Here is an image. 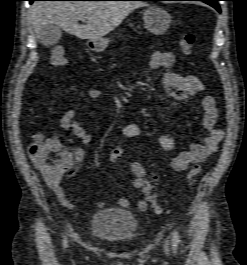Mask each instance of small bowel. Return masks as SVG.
<instances>
[{
	"label": "small bowel",
	"mask_w": 247,
	"mask_h": 265,
	"mask_svg": "<svg viewBox=\"0 0 247 265\" xmlns=\"http://www.w3.org/2000/svg\"><path fill=\"white\" fill-rule=\"evenodd\" d=\"M175 62L176 59L174 54L157 51L152 55L149 68L152 70L164 69L161 82L165 91L174 99L185 102L202 92L204 90V83L197 76L181 75L171 71ZM104 93L105 92L101 89L91 88L87 92H81L80 95L86 94L89 98L96 100L101 98ZM200 106L203 110L202 123L209 134L202 143H192L188 149L179 152L178 155L173 158L172 167L175 171H185L190 164L203 162L208 156L218 150L223 140L224 132L216 126L218 108L215 98L211 95L202 96ZM76 113L77 108L75 106L65 111L60 119V126L65 131L69 132L70 135L79 139L82 143L87 144L91 141L92 136L85 126L76 121ZM121 134L125 138H140L148 135L139 125L134 123L124 125ZM155 139L164 151H172L176 147L174 138L168 135H157ZM48 140H53L61 146V141L57 136H49ZM64 151L70 157V167L66 175L68 177H73L84 159V150L79 147H74L71 149H64ZM34 163L41 170L47 185L54 192L61 205L70 210H77L78 206L67 198L65 189L62 185L65 175H52L41 169L35 161ZM129 168L133 176L132 186L136 189H140L145 196V198L137 202L138 210L144 212L148 209V202L152 195V186L146 176V170L142 163L132 161L129 163ZM118 204L121 207L127 208L129 206V201L120 198ZM97 206L98 208H104L106 202L99 201Z\"/></svg>",
	"instance_id": "obj_1"
}]
</instances>
